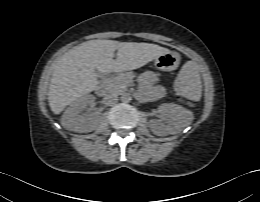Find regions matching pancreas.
<instances>
[{"instance_id": "cf45deb5", "label": "pancreas", "mask_w": 260, "mask_h": 202, "mask_svg": "<svg viewBox=\"0 0 260 202\" xmlns=\"http://www.w3.org/2000/svg\"><path fill=\"white\" fill-rule=\"evenodd\" d=\"M133 74L131 72H127L117 77L114 80L105 83L106 89L109 92L121 93L126 90L129 85V81L132 80Z\"/></svg>"}]
</instances>
